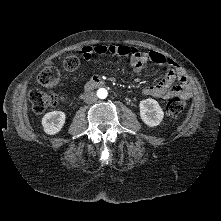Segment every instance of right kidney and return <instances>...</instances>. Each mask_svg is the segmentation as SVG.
<instances>
[{
    "instance_id": "1",
    "label": "right kidney",
    "mask_w": 221,
    "mask_h": 221,
    "mask_svg": "<svg viewBox=\"0 0 221 221\" xmlns=\"http://www.w3.org/2000/svg\"><path fill=\"white\" fill-rule=\"evenodd\" d=\"M66 115L62 111H52L44 115L42 126L45 133L54 135L64 126Z\"/></svg>"
}]
</instances>
